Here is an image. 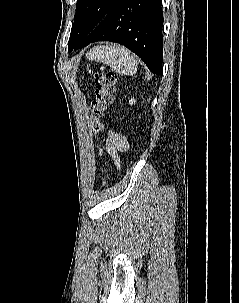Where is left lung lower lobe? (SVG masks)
<instances>
[{
	"label": "left lung lower lobe",
	"mask_w": 239,
	"mask_h": 303,
	"mask_svg": "<svg viewBox=\"0 0 239 303\" xmlns=\"http://www.w3.org/2000/svg\"><path fill=\"white\" fill-rule=\"evenodd\" d=\"M162 26L161 0H117L80 48L96 41L117 42L138 55L151 72L162 74Z\"/></svg>",
	"instance_id": "1"
}]
</instances>
